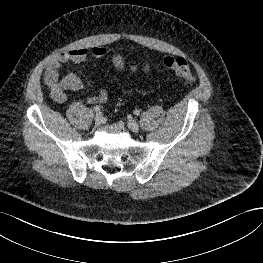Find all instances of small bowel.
Wrapping results in <instances>:
<instances>
[{
  "mask_svg": "<svg viewBox=\"0 0 263 263\" xmlns=\"http://www.w3.org/2000/svg\"><path fill=\"white\" fill-rule=\"evenodd\" d=\"M105 54L106 50L102 47H93L92 49L79 47L56 54L48 62L44 74L45 83L51 91L53 100L58 103H62L67 98V92L79 91L83 87L81 79L74 74H68L64 77H60L59 69L62 64L67 62H82L89 55L96 59H101L105 56ZM111 60L114 68L119 72H123L125 70L132 73L142 71L147 74L150 70L147 62H143L141 64L135 62L126 63L123 56L120 54H114ZM107 98V91L105 89H101L97 94L89 96L87 98V102L90 104H101L106 102Z\"/></svg>",
  "mask_w": 263,
  "mask_h": 263,
  "instance_id": "small-bowel-1",
  "label": "small bowel"
}]
</instances>
